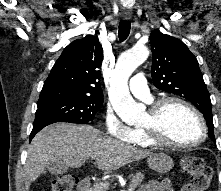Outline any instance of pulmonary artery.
I'll return each mask as SVG.
<instances>
[{"instance_id":"1","label":"pulmonary artery","mask_w":221,"mask_h":191,"mask_svg":"<svg viewBox=\"0 0 221 191\" xmlns=\"http://www.w3.org/2000/svg\"><path fill=\"white\" fill-rule=\"evenodd\" d=\"M129 88L132 94L140 99L150 102L152 100L149 88L143 73L133 76L129 82Z\"/></svg>"}]
</instances>
